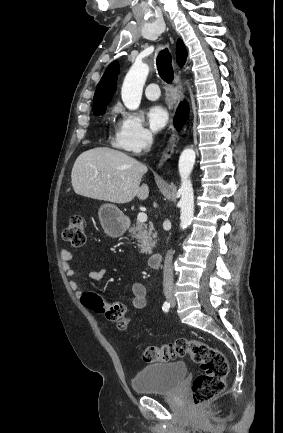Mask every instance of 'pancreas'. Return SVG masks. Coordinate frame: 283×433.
Here are the masks:
<instances>
[{
    "label": "pancreas",
    "instance_id": "cf45deb5",
    "mask_svg": "<svg viewBox=\"0 0 283 433\" xmlns=\"http://www.w3.org/2000/svg\"><path fill=\"white\" fill-rule=\"evenodd\" d=\"M154 229L151 225H144V223H136L134 227L129 229L131 237L138 239V247H140V253H145V255H152V247H155L156 233H153Z\"/></svg>",
    "mask_w": 283,
    "mask_h": 433
}]
</instances>
